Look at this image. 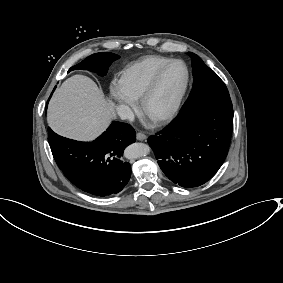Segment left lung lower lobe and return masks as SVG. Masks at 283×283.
Listing matches in <instances>:
<instances>
[{
  "label": "left lung lower lobe",
  "mask_w": 283,
  "mask_h": 283,
  "mask_svg": "<svg viewBox=\"0 0 283 283\" xmlns=\"http://www.w3.org/2000/svg\"><path fill=\"white\" fill-rule=\"evenodd\" d=\"M233 128L230 98H214L180 112L148 138L161 170L185 188L206 183L223 164Z\"/></svg>",
  "instance_id": "1"
}]
</instances>
